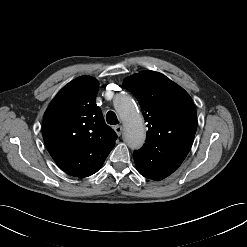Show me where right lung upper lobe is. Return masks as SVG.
I'll return each mask as SVG.
<instances>
[{"mask_svg": "<svg viewBox=\"0 0 247 247\" xmlns=\"http://www.w3.org/2000/svg\"><path fill=\"white\" fill-rule=\"evenodd\" d=\"M98 89L96 79L78 77L61 89L44 114L47 149L71 176L87 177L97 172L117 139L96 105Z\"/></svg>", "mask_w": 247, "mask_h": 247, "instance_id": "1", "label": "right lung upper lobe"}]
</instances>
